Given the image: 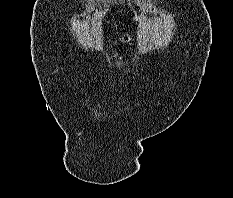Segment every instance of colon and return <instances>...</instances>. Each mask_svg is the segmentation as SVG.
Listing matches in <instances>:
<instances>
[{"instance_id": "5ec220e1", "label": "colon", "mask_w": 233, "mask_h": 198, "mask_svg": "<svg viewBox=\"0 0 233 198\" xmlns=\"http://www.w3.org/2000/svg\"><path fill=\"white\" fill-rule=\"evenodd\" d=\"M134 18H135V16L133 15V16H132V20H134Z\"/></svg>"}]
</instances>
